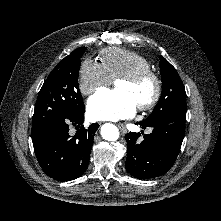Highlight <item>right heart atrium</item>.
<instances>
[{
    "mask_svg": "<svg viewBox=\"0 0 221 221\" xmlns=\"http://www.w3.org/2000/svg\"><path fill=\"white\" fill-rule=\"evenodd\" d=\"M113 83L104 66L92 59L82 62L78 73V87L83 95L93 92Z\"/></svg>",
    "mask_w": 221,
    "mask_h": 221,
    "instance_id": "1",
    "label": "right heart atrium"
}]
</instances>
